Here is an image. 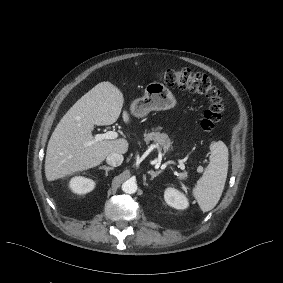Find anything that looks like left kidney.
Listing matches in <instances>:
<instances>
[{"label":"left kidney","mask_w":283,"mask_h":283,"mask_svg":"<svg viewBox=\"0 0 283 283\" xmlns=\"http://www.w3.org/2000/svg\"><path fill=\"white\" fill-rule=\"evenodd\" d=\"M165 202L176 209H186L189 206L186 196L175 188H167L164 192Z\"/></svg>","instance_id":"obj_1"}]
</instances>
